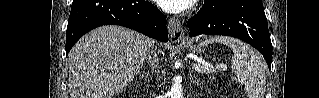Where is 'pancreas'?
<instances>
[{
    "mask_svg": "<svg viewBox=\"0 0 319 98\" xmlns=\"http://www.w3.org/2000/svg\"><path fill=\"white\" fill-rule=\"evenodd\" d=\"M213 73H214L213 70H207V71L205 72V74H207L210 78H211V77L214 78Z\"/></svg>",
    "mask_w": 319,
    "mask_h": 98,
    "instance_id": "cf45deb5",
    "label": "pancreas"
}]
</instances>
